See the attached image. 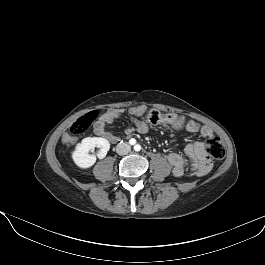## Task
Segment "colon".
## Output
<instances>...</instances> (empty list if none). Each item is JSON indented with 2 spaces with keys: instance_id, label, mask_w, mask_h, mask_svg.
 <instances>
[{
  "instance_id": "5ec220e1",
  "label": "colon",
  "mask_w": 265,
  "mask_h": 265,
  "mask_svg": "<svg viewBox=\"0 0 265 265\" xmlns=\"http://www.w3.org/2000/svg\"><path fill=\"white\" fill-rule=\"evenodd\" d=\"M99 116L100 113L98 111H92L79 117L69 128L65 140L68 143H73L93 125ZM146 118L151 124H175L183 120L181 115L162 113L154 109L146 112ZM205 148L208 154L215 160H221L225 156L224 144L218 136L208 138L205 142Z\"/></svg>"
}]
</instances>
